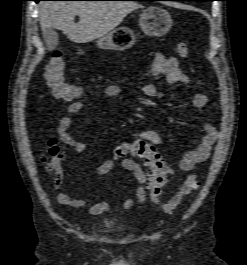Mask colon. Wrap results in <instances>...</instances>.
Here are the masks:
<instances>
[{
    "instance_id": "5ec220e1",
    "label": "colon",
    "mask_w": 247,
    "mask_h": 265,
    "mask_svg": "<svg viewBox=\"0 0 247 265\" xmlns=\"http://www.w3.org/2000/svg\"><path fill=\"white\" fill-rule=\"evenodd\" d=\"M177 53L181 58H187L189 55V44L180 42L177 45ZM65 61L63 53L60 50H55L50 58L45 79L48 88L52 95L63 101H84L86 93L83 87L75 84H70L64 77ZM132 155L142 160L148 168L149 184L151 200L154 203L159 202V197L162 193V188L167 183V175L170 172L166 165L163 156L157 148L146 142L135 141L132 143H121L113 150V156L116 159L126 158ZM49 165H53V159L50 158ZM199 187L196 175H189L179 187L177 192L162 205V210L165 213H171L181 202V200L191 194Z\"/></svg>"
}]
</instances>
